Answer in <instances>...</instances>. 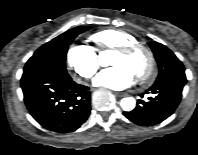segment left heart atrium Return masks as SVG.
Segmentation results:
<instances>
[{
	"label": "left heart atrium",
	"instance_id": "obj_1",
	"mask_svg": "<svg viewBox=\"0 0 198 155\" xmlns=\"http://www.w3.org/2000/svg\"><path fill=\"white\" fill-rule=\"evenodd\" d=\"M94 84L112 90H123L135 81L134 73L124 65L104 69L94 78Z\"/></svg>",
	"mask_w": 198,
	"mask_h": 155
}]
</instances>
